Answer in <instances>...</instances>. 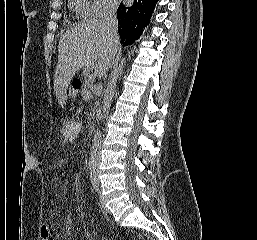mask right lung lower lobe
I'll return each instance as SVG.
<instances>
[{
  "mask_svg": "<svg viewBox=\"0 0 257 240\" xmlns=\"http://www.w3.org/2000/svg\"><path fill=\"white\" fill-rule=\"evenodd\" d=\"M158 0H134L131 6L123 3L117 9L118 32L121 43L131 45L143 32L150 22V17Z\"/></svg>",
  "mask_w": 257,
  "mask_h": 240,
  "instance_id": "98d812e1",
  "label": "right lung lower lobe"
}]
</instances>
